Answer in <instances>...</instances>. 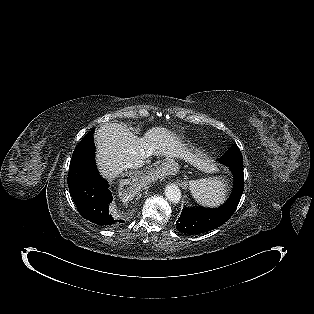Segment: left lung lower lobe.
<instances>
[{
	"label": "left lung lower lobe",
	"mask_w": 314,
	"mask_h": 314,
	"mask_svg": "<svg viewBox=\"0 0 314 314\" xmlns=\"http://www.w3.org/2000/svg\"><path fill=\"white\" fill-rule=\"evenodd\" d=\"M233 177L234 187L229 200L219 208L204 207L184 208L176 229L187 234H199L213 230L224 224L235 212L244 190L243 165L229 166Z\"/></svg>",
	"instance_id": "1"
}]
</instances>
